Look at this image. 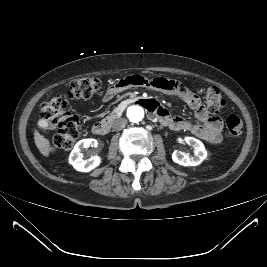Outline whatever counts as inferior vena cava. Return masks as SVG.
<instances>
[{"mask_svg": "<svg viewBox=\"0 0 267 267\" xmlns=\"http://www.w3.org/2000/svg\"><path fill=\"white\" fill-rule=\"evenodd\" d=\"M126 125V120L123 118L117 119L112 124V129L114 131H120L122 130Z\"/></svg>", "mask_w": 267, "mask_h": 267, "instance_id": "inferior-vena-cava-1", "label": "inferior vena cava"}]
</instances>
